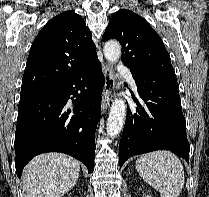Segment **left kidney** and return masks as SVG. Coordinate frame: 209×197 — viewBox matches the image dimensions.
<instances>
[{
	"instance_id": "left-kidney-1",
	"label": "left kidney",
	"mask_w": 209,
	"mask_h": 197,
	"mask_svg": "<svg viewBox=\"0 0 209 197\" xmlns=\"http://www.w3.org/2000/svg\"><path fill=\"white\" fill-rule=\"evenodd\" d=\"M145 197H151V196L146 195Z\"/></svg>"
}]
</instances>
